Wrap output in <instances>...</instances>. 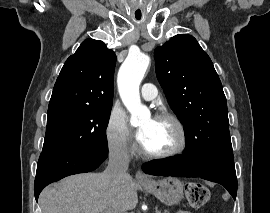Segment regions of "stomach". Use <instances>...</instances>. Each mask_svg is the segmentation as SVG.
Wrapping results in <instances>:
<instances>
[{
    "label": "stomach",
    "mask_w": 270,
    "mask_h": 213,
    "mask_svg": "<svg viewBox=\"0 0 270 213\" xmlns=\"http://www.w3.org/2000/svg\"><path fill=\"white\" fill-rule=\"evenodd\" d=\"M142 186L166 205L177 204L183 198L184 184L175 177L153 180Z\"/></svg>",
    "instance_id": "0dacf381"
}]
</instances>
